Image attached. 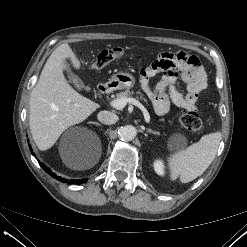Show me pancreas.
<instances>
[{
    "mask_svg": "<svg viewBox=\"0 0 247 247\" xmlns=\"http://www.w3.org/2000/svg\"><path fill=\"white\" fill-rule=\"evenodd\" d=\"M133 94H134L133 91H130V90L127 89V90H125L123 92H120V93L116 94V97H117V99H119V98H130ZM139 98L141 100H144L145 102L147 101L145 98H143L142 95H140Z\"/></svg>",
    "mask_w": 247,
    "mask_h": 247,
    "instance_id": "pancreas-1",
    "label": "pancreas"
}]
</instances>
